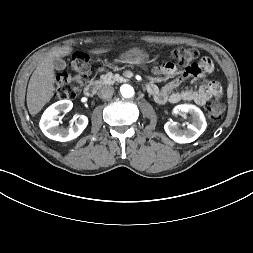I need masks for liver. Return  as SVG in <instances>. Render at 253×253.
Wrapping results in <instances>:
<instances>
[{"label":"liver","instance_id":"obj_1","mask_svg":"<svg viewBox=\"0 0 253 253\" xmlns=\"http://www.w3.org/2000/svg\"><path fill=\"white\" fill-rule=\"evenodd\" d=\"M72 50L70 46H62L52 50L34 70L28 84L26 99L29 113L32 116L39 113L43 106L53 97L55 91L53 60L69 55ZM106 51L107 49H99L94 50L93 53L99 54Z\"/></svg>","mask_w":253,"mask_h":253}]
</instances>
